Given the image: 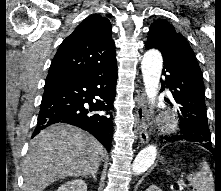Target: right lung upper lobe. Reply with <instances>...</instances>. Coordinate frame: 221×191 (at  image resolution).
Listing matches in <instances>:
<instances>
[{
	"mask_svg": "<svg viewBox=\"0 0 221 191\" xmlns=\"http://www.w3.org/2000/svg\"><path fill=\"white\" fill-rule=\"evenodd\" d=\"M110 21L90 15L60 45L46 82L95 74L117 65Z\"/></svg>",
	"mask_w": 221,
	"mask_h": 191,
	"instance_id": "1",
	"label": "right lung upper lobe"
}]
</instances>
